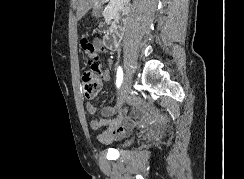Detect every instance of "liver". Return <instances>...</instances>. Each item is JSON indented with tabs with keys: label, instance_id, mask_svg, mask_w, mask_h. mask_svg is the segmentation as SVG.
I'll return each instance as SVG.
<instances>
[{
	"label": "liver",
	"instance_id": "6515ba94",
	"mask_svg": "<svg viewBox=\"0 0 244 179\" xmlns=\"http://www.w3.org/2000/svg\"><path fill=\"white\" fill-rule=\"evenodd\" d=\"M97 0H78L77 4V20H81L85 16L86 12L94 6Z\"/></svg>",
	"mask_w": 244,
	"mask_h": 179
}]
</instances>
